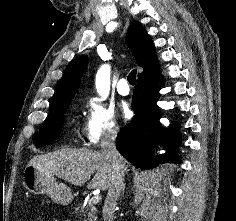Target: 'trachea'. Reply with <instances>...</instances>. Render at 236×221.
Here are the masks:
<instances>
[{"mask_svg":"<svg viewBox=\"0 0 236 221\" xmlns=\"http://www.w3.org/2000/svg\"><path fill=\"white\" fill-rule=\"evenodd\" d=\"M136 73H137V70L134 69L132 70L129 75H128V82L131 84V85H135L136 84Z\"/></svg>","mask_w":236,"mask_h":221,"instance_id":"3493384b","label":"trachea"}]
</instances>
